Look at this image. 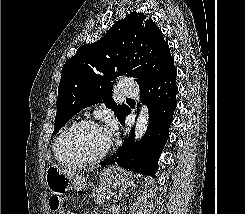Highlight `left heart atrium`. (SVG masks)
Masks as SVG:
<instances>
[{
    "label": "left heart atrium",
    "mask_w": 245,
    "mask_h": 214,
    "mask_svg": "<svg viewBox=\"0 0 245 214\" xmlns=\"http://www.w3.org/2000/svg\"><path fill=\"white\" fill-rule=\"evenodd\" d=\"M116 130V125L114 122H109L107 135L110 136L111 133H114Z\"/></svg>",
    "instance_id": "obj_1"
}]
</instances>
